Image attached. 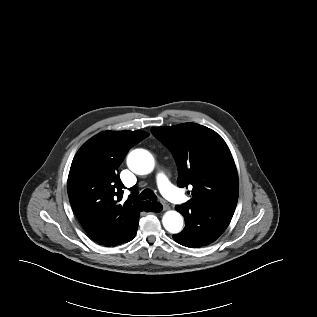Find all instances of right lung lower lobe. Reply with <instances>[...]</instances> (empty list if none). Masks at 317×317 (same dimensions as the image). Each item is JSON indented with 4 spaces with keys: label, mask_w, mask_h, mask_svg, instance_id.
<instances>
[{
    "label": "right lung lower lobe",
    "mask_w": 317,
    "mask_h": 317,
    "mask_svg": "<svg viewBox=\"0 0 317 317\" xmlns=\"http://www.w3.org/2000/svg\"><path fill=\"white\" fill-rule=\"evenodd\" d=\"M162 208L163 207L160 203H149L141 211L160 212L162 210ZM140 212H138V214H136L132 218V223L130 225L129 230L127 231L126 234H124L122 237H120L116 243H112L104 234L98 233L97 230L89 233L88 235L95 242H97L101 245L107 246V247L116 246V245H119L122 243H126L128 241H131L135 237L136 232H137L138 219H139Z\"/></svg>",
    "instance_id": "obj_1"
}]
</instances>
